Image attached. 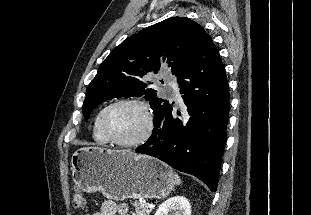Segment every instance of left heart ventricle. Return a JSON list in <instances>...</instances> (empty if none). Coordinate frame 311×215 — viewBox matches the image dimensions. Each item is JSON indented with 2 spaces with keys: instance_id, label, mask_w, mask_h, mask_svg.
<instances>
[{
  "instance_id": "left-heart-ventricle-1",
  "label": "left heart ventricle",
  "mask_w": 311,
  "mask_h": 215,
  "mask_svg": "<svg viewBox=\"0 0 311 215\" xmlns=\"http://www.w3.org/2000/svg\"><path fill=\"white\" fill-rule=\"evenodd\" d=\"M106 126L115 138L125 141L134 140L140 137L146 128V115L136 105H119L109 111Z\"/></svg>"
}]
</instances>
